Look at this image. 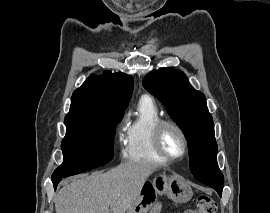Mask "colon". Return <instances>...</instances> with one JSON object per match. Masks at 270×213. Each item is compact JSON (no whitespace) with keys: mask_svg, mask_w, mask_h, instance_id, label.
Masks as SVG:
<instances>
[{"mask_svg":"<svg viewBox=\"0 0 270 213\" xmlns=\"http://www.w3.org/2000/svg\"><path fill=\"white\" fill-rule=\"evenodd\" d=\"M216 210L215 201L209 196L202 195L197 199L195 208L189 209L185 213H216Z\"/></svg>","mask_w":270,"mask_h":213,"instance_id":"5ec220e1","label":"colon"}]
</instances>
